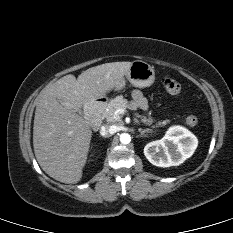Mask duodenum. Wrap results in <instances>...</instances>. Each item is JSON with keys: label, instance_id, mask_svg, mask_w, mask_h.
Listing matches in <instances>:
<instances>
[{"label": "duodenum", "instance_id": "duodenum-1", "mask_svg": "<svg viewBox=\"0 0 233 233\" xmlns=\"http://www.w3.org/2000/svg\"><path fill=\"white\" fill-rule=\"evenodd\" d=\"M103 107L102 100H98L86 107V120L94 128H97L101 124V110Z\"/></svg>", "mask_w": 233, "mask_h": 233}]
</instances>
